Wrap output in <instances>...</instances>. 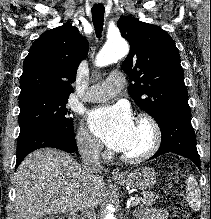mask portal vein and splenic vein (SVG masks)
<instances>
[{"label":"portal vein and splenic vein","mask_w":211,"mask_h":219,"mask_svg":"<svg viewBox=\"0 0 211 219\" xmlns=\"http://www.w3.org/2000/svg\"><path fill=\"white\" fill-rule=\"evenodd\" d=\"M129 202H131L132 205L135 206L139 203V198L138 197H132V198L129 199Z\"/></svg>","instance_id":"1"}]
</instances>
